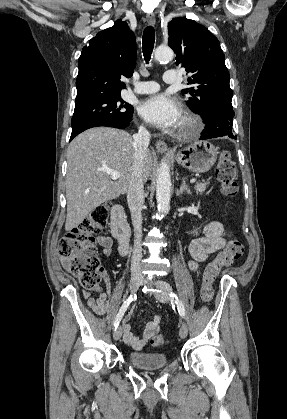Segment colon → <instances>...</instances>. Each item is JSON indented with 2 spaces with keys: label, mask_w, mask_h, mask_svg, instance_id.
Masks as SVG:
<instances>
[{
  "label": "colon",
  "mask_w": 287,
  "mask_h": 419,
  "mask_svg": "<svg viewBox=\"0 0 287 419\" xmlns=\"http://www.w3.org/2000/svg\"><path fill=\"white\" fill-rule=\"evenodd\" d=\"M216 177L221 192L227 197L238 193L237 170L228 150L222 152L216 167ZM109 204L96 206L72 232L66 234L59 243L60 254L68 260L69 269L78 277L81 286L87 291H98L101 282V260L96 253L95 234L107 224ZM244 254L243 244L231 234L227 246L212 260L204 270L201 299L209 303L214 296L213 284L223 267L240 260ZM155 347L163 348L168 341L161 335L151 338Z\"/></svg>",
  "instance_id": "obj_1"
}]
</instances>
